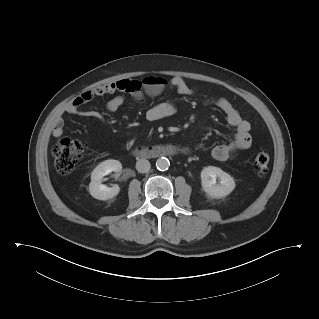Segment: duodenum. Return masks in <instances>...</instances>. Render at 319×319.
<instances>
[{
    "instance_id": "410a0bca",
    "label": "duodenum",
    "mask_w": 319,
    "mask_h": 319,
    "mask_svg": "<svg viewBox=\"0 0 319 319\" xmlns=\"http://www.w3.org/2000/svg\"><path fill=\"white\" fill-rule=\"evenodd\" d=\"M137 157H162L172 156L174 154V147L171 144L151 147H136L132 150Z\"/></svg>"
}]
</instances>
